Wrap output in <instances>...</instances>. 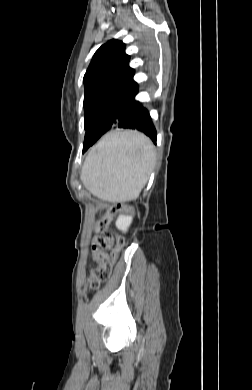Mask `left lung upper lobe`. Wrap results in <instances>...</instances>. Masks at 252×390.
I'll list each match as a JSON object with an SVG mask.
<instances>
[{
  "mask_svg": "<svg viewBox=\"0 0 252 390\" xmlns=\"http://www.w3.org/2000/svg\"><path fill=\"white\" fill-rule=\"evenodd\" d=\"M129 59L125 44L114 39L94 54L83 80L85 127L97 117L116 115L138 92Z\"/></svg>",
  "mask_w": 252,
  "mask_h": 390,
  "instance_id": "obj_1",
  "label": "left lung upper lobe"
}]
</instances>
